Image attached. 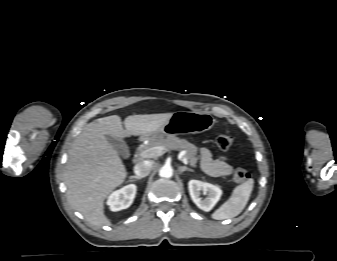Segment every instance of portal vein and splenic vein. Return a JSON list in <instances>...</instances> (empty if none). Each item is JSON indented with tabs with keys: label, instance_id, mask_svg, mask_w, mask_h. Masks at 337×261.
<instances>
[{
	"label": "portal vein and splenic vein",
	"instance_id": "18ae733b",
	"mask_svg": "<svg viewBox=\"0 0 337 261\" xmlns=\"http://www.w3.org/2000/svg\"><path fill=\"white\" fill-rule=\"evenodd\" d=\"M165 152H166V150H165L164 146H155V147H152V148H149L147 150L142 151L140 153V156L142 158H153V157L160 156V155H162ZM181 157H182V162L184 164H188V160L185 157V155L182 154Z\"/></svg>",
	"mask_w": 337,
	"mask_h": 261
}]
</instances>
